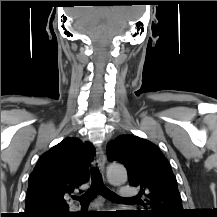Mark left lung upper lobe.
<instances>
[{
    "label": "left lung upper lobe",
    "mask_w": 217,
    "mask_h": 217,
    "mask_svg": "<svg viewBox=\"0 0 217 217\" xmlns=\"http://www.w3.org/2000/svg\"><path fill=\"white\" fill-rule=\"evenodd\" d=\"M110 161L121 162L127 169L128 181L140 186L150 210L149 217H179L183 214L182 199L176 177L161 150L153 143L134 135H120L106 148Z\"/></svg>",
    "instance_id": "5c2ea615"
}]
</instances>
